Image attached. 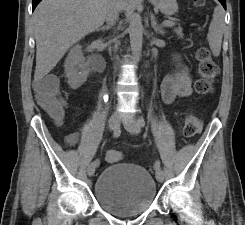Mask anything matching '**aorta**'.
<instances>
[{"instance_id": "aorta-1", "label": "aorta", "mask_w": 245, "mask_h": 225, "mask_svg": "<svg viewBox=\"0 0 245 225\" xmlns=\"http://www.w3.org/2000/svg\"><path fill=\"white\" fill-rule=\"evenodd\" d=\"M128 33L133 58L139 60L142 52L143 25L138 13L130 15Z\"/></svg>"}]
</instances>
